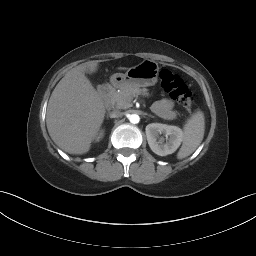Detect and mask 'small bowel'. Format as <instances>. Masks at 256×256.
<instances>
[{
  "label": "small bowel",
  "instance_id": "small-bowel-1",
  "mask_svg": "<svg viewBox=\"0 0 256 256\" xmlns=\"http://www.w3.org/2000/svg\"><path fill=\"white\" fill-rule=\"evenodd\" d=\"M153 108L155 113L164 119L171 120L177 116V113L174 110V104L169 99H162L157 101Z\"/></svg>",
  "mask_w": 256,
  "mask_h": 256
}]
</instances>
